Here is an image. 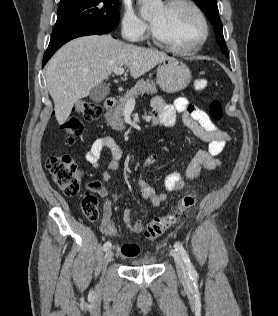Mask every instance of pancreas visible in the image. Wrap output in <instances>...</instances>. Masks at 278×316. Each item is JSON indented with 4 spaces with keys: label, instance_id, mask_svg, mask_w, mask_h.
Wrapping results in <instances>:
<instances>
[{
    "label": "pancreas",
    "instance_id": "1",
    "mask_svg": "<svg viewBox=\"0 0 278 316\" xmlns=\"http://www.w3.org/2000/svg\"><path fill=\"white\" fill-rule=\"evenodd\" d=\"M156 84L149 79H140L137 81L134 87L128 90L123 97L119 99L118 105L106 113L105 118L107 124L114 130L122 131L125 129L123 124V110L127 102L131 98H136L143 94H155L157 93Z\"/></svg>",
    "mask_w": 278,
    "mask_h": 316
}]
</instances>
